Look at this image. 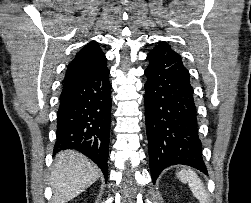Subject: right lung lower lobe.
Masks as SVG:
<instances>
[{
    "mask_svg": "<svg viewBox=\"0 0 251 203\" xmlns=\"http://www.w3.org/2000/svg\"><path fill=\"white\" fill-rule=\"evenodd\" d=\"M106 64L62 90L57 112L54 154L61 150H78L108 177L111 85Z\"/></svg>",
    "mask_w": 251,
    "mask_h": 203,
    "instance_id": "1",
    "label": "right lung lower lobe"
}]
</instances>
